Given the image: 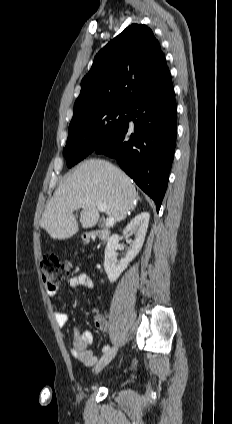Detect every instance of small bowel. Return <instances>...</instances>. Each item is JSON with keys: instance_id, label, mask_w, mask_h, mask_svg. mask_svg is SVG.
<instances>
[{"instance_id": "c3829d8e", "label": "small bowel", "mask_w": 232, "mask_h": 424, "mask_svg": "<svg viewBox=\"0 0 232 424\" xmlns=\"http://www.w3.org/2000/svg\"><path fill=\"white\" fill-rule=\"evenodd\" d=\"M68 285L71 288L83 287L86 289L94 288V281L88 272H79L68 280ZM60 288L48 289L50 296H57ZM54 317L58 325L65 326L69 322V315L64 311H55ZM96 327L102 332L108 331L107 320L95 311L94 319ZM92 341V334L87 330H83L80 326L74 327L73 330V344L70 348L71 355L84 365H93L97 357L88 349Z\"/></svg>"}]
</instances>
